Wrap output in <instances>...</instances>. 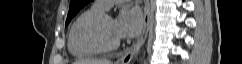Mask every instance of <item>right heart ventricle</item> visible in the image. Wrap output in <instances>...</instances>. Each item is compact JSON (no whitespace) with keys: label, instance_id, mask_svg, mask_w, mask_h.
I'll list each match as a JSON object with an SVG mask.
<instances>
[{"label":"right heart ventricle","instance_id":"obj_1","mask_svg":"<svg viewBox=\"0 0 242 64\" xmlns=\"http://www.w3.org/2000/svg\"><path fill=\"white\" fill-rule=\"evenodd\" d=\"M105 10L96 5L91 6L89 9L83 11L72 23L67 38L68 50L74 57L88 58L97 54L96 51L85 46L79 37V32L84 23L93 16L104 13Z\"/></svg>","mask_w":242,"mask_h":64}]
</instances>
